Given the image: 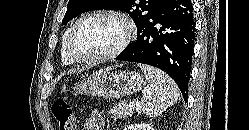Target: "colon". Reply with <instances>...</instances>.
I'll use <instances>...</instances> for the list:
<instances>
[{"mask_svg": "<svg viewBox=\"0 0 249 130\" xmlns=\"http://www.w3.org/2000/svg\"><path fill=\"white\" fill-rule=\"evenodd\" d=\"M52 113L58 124L59 130H76L77 122L73 109L67 98H61L52 105Z\"/></svg>", "mask_w": 249, "mask_h": 130, "instance_id": "colon-1", "label": "colon"}]
</instances>
